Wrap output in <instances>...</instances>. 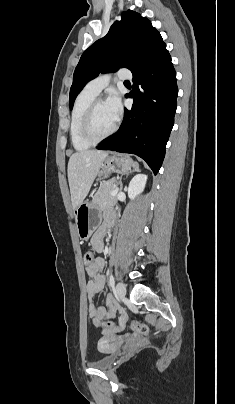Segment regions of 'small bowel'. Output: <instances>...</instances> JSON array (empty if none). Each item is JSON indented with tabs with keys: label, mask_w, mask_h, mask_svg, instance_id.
Wrapping results in <instances>:
<instances>
[{
	"label": "small bowel",
	"mask_w": 235,
	"mask_h": 404,
	"mask_svg": "<svg viewBox=\"0 0 235 404\" xmlns=\"http://www.w3.org/2000/svg\"><path fill=\"white\" fill-rule=\"evenodd\" d=\"M112 222V219H108L91 238V245L95 251L100 252L103 250L104 235L107 227H109ZM104 266L105 263L102 258H96L91 265L86 266V272L90 277L87 283V296L89 301L88 314L96 326H100L101 322L104 320L113 318L118 309L116 303L110 297L107 299L108 310L103 306L95 305L93 301L94 296L100 293L105 286V276L102 274Z\"/></svg>",
	"instance_id": "obj_1"
}]
</instances>
